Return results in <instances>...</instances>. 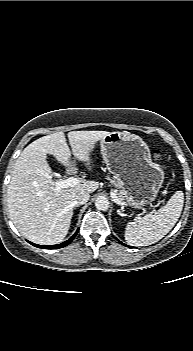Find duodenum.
<instances>
[{
    "instance_id": "obj_1",
    "label": "duodenum",
    "mask_w": 193,
    "mask_h": 351,
    "mask_svg": "<svg viewBox=\"0 0 193 351\" xmlns=\"http://www.w3.org/2000/svg\"><path fill=\"white\" fill-rule=\"evenodd\" d=\"M70 173H74L73 170H70Z\"/></svg>"
}]
</instances>
